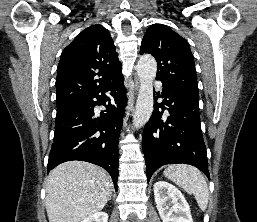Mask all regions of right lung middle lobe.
<instances>
[{"label":"right lung middle lobe","mask_w":257,"mask_h":222,"mask_svg":"<svg viewBox=\"0 0 257 222\" xmlns=\"http://www.w3.org/2000/svg\"><path fill=\"white\" fill-rule=\"evenodd\" d=\"M81 101L78 102H74V103H69V104H61V105H57V112H61L63 110H65L66 108H68L69 106L76 104V103H80Z\"/></svg>","instance_id":"1"}]
</instances>
